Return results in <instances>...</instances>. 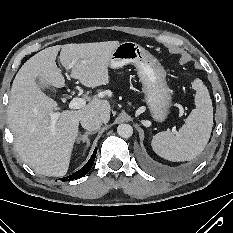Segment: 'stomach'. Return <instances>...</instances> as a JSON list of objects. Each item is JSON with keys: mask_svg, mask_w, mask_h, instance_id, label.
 <instances>
[{"mask_svg": "<svg viewBox=\"0 0 233 233\" xmlns=\"http://www.w3.org/2000/svg\"><path fill=\"white\" fill-rule=\"evenodd\" d=\"M135 66L142 83L144 101L156 122H163L168 114L172 97L166 82V73L159 61L139 44L131 41L119 43L113 50L109 67L119 69Z\"/></svg>", "mask_w": 233, "mask_h": 233, "instance_id": "0dacf381", "label": "stomach"}]
</instances>
